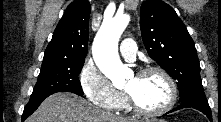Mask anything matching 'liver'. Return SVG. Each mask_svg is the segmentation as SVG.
<instances>
[{
	"label": "liver",
	"instance_id": "liver-1",
	"mask_svg": "<svg viewBox=\"0 0 221 122\" xmlns=\"http://www.w3.org/2000/svg\"><path fill=\"white\" fill-rule=\"evenodd\" d=\"M26 122H137L115 116L71 93L58 92L47 97Z\"/></svg>",
	"mask_w": 221,
	"mask_h": 122
}]
</instances>
